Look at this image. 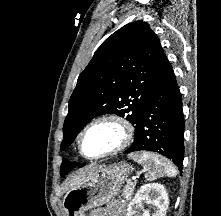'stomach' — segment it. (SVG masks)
<instances>
[{
  "instance_id": "0dacf381",
  "label": "stomach",
  "mask_w": 221,
  "mask_h": 216,
  "mask_svg": "<svg viewBox=\"0 0 221 216\" xmlns=\"http://www.w3.org/2000/svg\"><path fill=\"white\" fill-rule=\"evenodd\" d=\"M132 172L133 167L122 162L108 168L96 167L66 193V216H85L86 211L109 203Z\"/></svg>"
}]
</instances>
